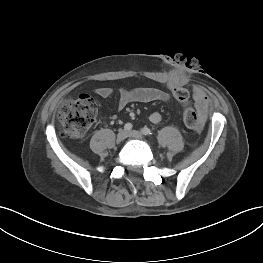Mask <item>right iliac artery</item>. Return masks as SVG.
Returning <instances> with one entry per match:
<instances>
[{
    "mask_svg": "<svg viewBox=\"0 0 263 263\" xmlns=\"http://www.w3.org/2000/svg\"><path fill=\"white\" fill-rule=\"evenodd\" d=\"M132 124L131 123H126L125 126H124V129L127 130V131H130L132 129Z\"/></svg>",
    "mask_w": 263,
    "mask_h": 263,
    "instance_id": "obj_1",
    "label": "right iliac artery"
}]
</instances>
